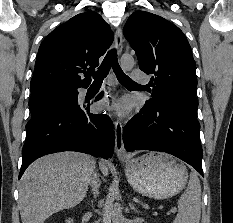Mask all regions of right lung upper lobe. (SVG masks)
<instances>
[{
    "label": "right lung upper lobe",
    "instance_id": "cb5924a9",
    "mask_svg": "<svg viewBox=\"0 0 233 223\" xmlns=\"http://www.w3.org/2000/svg\"><path fill=\"white\" fill-rule=\"evenodd\" d=\"M113 32L94 11L78 14L54 29L41 43L31 80V93L88 86ZM84 73L85 78L79 74Z\"/></svg>",
    "mask_w": 233,
    "mask_h": 223
}]
</instances>
